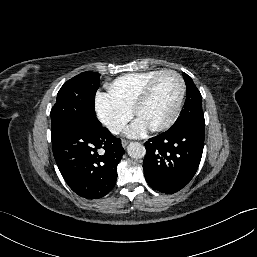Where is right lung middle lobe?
I'll list each match as a JSON object with an SVG mask.
<instances>
[{"label":"right lung middle lobe","instance_id":"1","mask_svg":"<svg viewBox=\"0 0 257 257\" xmlns=\"http://www.w3.org/2000/svg\"><path fill=\"white\" fill-rule=\"evenodd\" d=\"M101 74L83 72L68 80L59 90L51 116V138L70 127L99 129L95 108V94Z\"/></svg>","mask_w":257,"mask_h":257}]
</instances>
